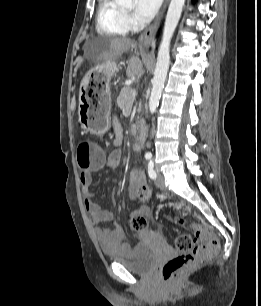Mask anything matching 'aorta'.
Masks as SVG:
<instances>
[{
	"mask_svg": "<svg viewBox=\"0 0 261 306\" xmlns=\"http://www.w3.org/2000/svg\"><path fill=\"white\" fill-rule=\"evenodd\" d=\"M115 2L120 6L130 7L132 5V0H115ZM184 3L185 0H171L168 8L162 40L157 56L153 87L149 100V111L151 114L156 112V109L159 105V100L169 69L170 42L181 17Z\"/></svg>",
	"mask_w": 261,
	"mask_h": 306,
	"instance_id": "1",
	"label": "aorta"
}]
</instances>
